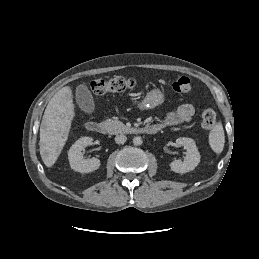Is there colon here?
<instances>
[{
	"instance_id": "colon-1",
	"label": "colon",
	"mask_w": 259,
	"mask_h": 259,
	"mask_svg": "<svg viewBox=\"0 0 259 259\" xmlns=\"http://www.w3.org/2000/svg\"><path fill=\"white\" fill-rule=\"evenodd\" d=\"M135 86V80L125 77H113L108 80L97 79L90 83L89 89L95 95H105L108 93H122L131 90ZM174 91L187 93L191 90V81L187 77L175 79L172 84ZM216 123V114L212 109H205L202 113L201 125L204 129L210 130Z\"/></svg>"
}]
</instances>
